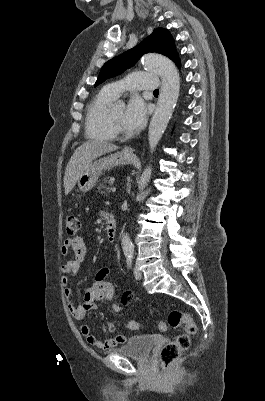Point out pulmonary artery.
<instances>
[{
  "instance_id": "e3ab8cb5",
  "label": "pulmonary artery",
  "mask_w": 265,
  "mask_h": 401,
  "mask_svg": "<svg viewBox=\"0 0 265 401\" xmlns=\"http://www.w3.org/2000/svg\"><path fill=\"white\" fill-rule=\"evenodd\" d=\"M157 78L152 72H137L136 75L128 74L123 77V84L120 81L107 86L108 92L118 97L123 89L130 90L131 94H138L139 90H155Z\"/></svg>"
}]
</instances>
